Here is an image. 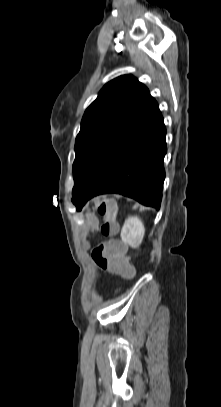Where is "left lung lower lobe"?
Returning <instances> with one entry per match:
<instances>
[{
    "label": "left lung lower lobe",
    "instance_id": "0a47b994",
    "mask_svg": "<svg viewBox=\"0 0 221 407\" xmlns=\"http://www.w3.org/2000/svg\"><path fill=\"white\" fill-rule=\"evenodd\" d=\"M166 128L150 97L137 111L72 201L77 210L92 197L119 193L160 208L165 179Z\"/></svg>",
    "mask_w": 221,
    "mask_h": 407
}]
</instances>
